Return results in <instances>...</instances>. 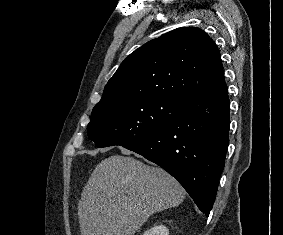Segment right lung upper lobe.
I'll return each instance as SVG.
<instances>
[{"mask_svg":"<svg viewBox=\"0 0 283 235\" xmlns=\"http://www.w3.org/2000/svg\"><path fill=\"white\" fill-rule=\"evenodd\" d=\"M214 41L200 28L181 27L131 53L96 104L130 97H169L178 101L224 84Z\"/></svg>","mask_w":283,"mask_h":235,"instance_id":"right-lung-upper-lobe-1","label":"right lung upper lobe"}]
</instances>
